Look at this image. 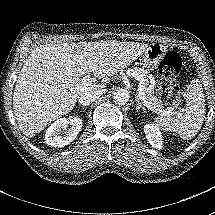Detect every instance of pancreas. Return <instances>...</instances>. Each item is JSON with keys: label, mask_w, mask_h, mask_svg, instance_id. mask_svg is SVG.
I'll return each mask as SVG.
<instances>
[{"label": "pancreas", "mask_w": 215, "mask_h": 215, "mask_svg": "<svg viewBox=\"0 0 215 215\" xmlns=\"http://www.w3.org/2000/svg\"><path fill=\"white\" fill-rule=\"evenodd\" d=\"M132 70L145 79L144 84L145 86L149 85L148 81L149 72L147 70L140 67H134ZM145 92L147 94V101H149L151 105L154 106L158 111L162 110L163 109L162 102L154 95V91L146 90Z\"/></svg>", "instance_id": "obj_1"}]
</instances>
